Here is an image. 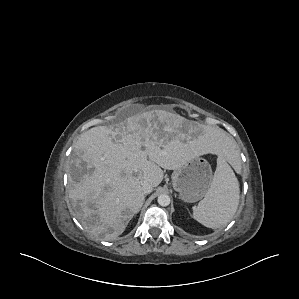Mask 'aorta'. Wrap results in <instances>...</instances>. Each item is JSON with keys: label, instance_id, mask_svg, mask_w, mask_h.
Returning <instances> with one entry per match:
<instances>
[{"label": "aorta", "instance_id": "762f6f07", "mask_svg": "<svg viewBox=\"0 0 299 299\" xmlns=\"http://www.w3.org/2000/svg\"><path fill=\"white\" fill-rule=\"evenodd\" d=\"M158 204L161 206H168L170 204V197L167 194H161L158 196Z\"/></svg>", "mask_w": 299, "mask_h": 299}]
</instances>
